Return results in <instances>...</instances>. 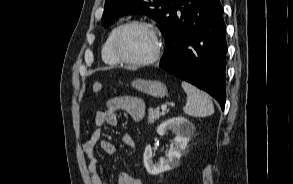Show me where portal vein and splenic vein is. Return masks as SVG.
<instances>
[{"label":"portal vein and splenic vein","mask_w":293,"mask_h":184,"mask_svg":"<svg viewBox=\"0 0 293 184\" xmlns=\"http://www.w3.org/2000/svg\"><path fill=\"white\" fill-rule=\"evenodd\" d=\"M166 109H167V106H166V105H162V106H161V110H162V111H166Z\"/></svg>","instance_id":"portal-vein-and-splenic-vein-1"}]
</instances>
